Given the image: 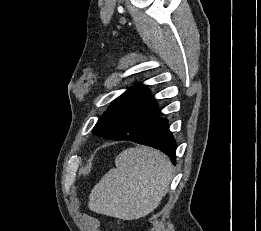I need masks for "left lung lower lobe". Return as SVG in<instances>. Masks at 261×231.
<instances>
[{"mask_svg": "<svg viewBox=\"0 0 261 231\" xmlns=\"http://www.w3.org/2000/svg\"><path fill=\"white\" fill-rule=\"evenodd\" d=\"M127 140L138 144L156 148L165 153L174 163L175 162V140L169 130L168 120L158 117L150 126L148 131L140 138H119L116 141Z\"/></svg>", "mask_w": 261, "mask_h": 231, "instance_id": "left-lung-lower-lobe-1", "label": "left lung lower lobe"}]
</instances>
